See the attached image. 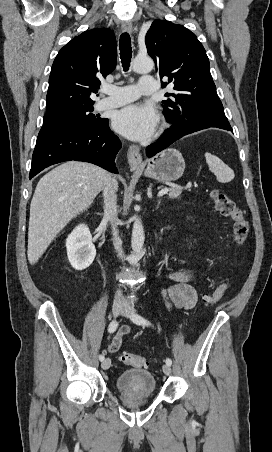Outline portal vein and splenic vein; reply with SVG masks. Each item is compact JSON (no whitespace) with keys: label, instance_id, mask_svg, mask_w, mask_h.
I'll use <instances>...</instances> for the list:
<instances>
[{"label":"portal vein and splenic vein","instance_id":"obj_1","mask_svg":"<svg viewBox=\"0 0 272 452\" xmlns=\"http://www.w3.org/2000/svg\"><path fill=\"white\" fill-rule=\"evenodd\" d=\"M170 190H171L170 188H164V189L160 190L158 192V197H161V196L167 194Z\"/></svg>","mask_w":272,"mask_h":452}]
</instances>
